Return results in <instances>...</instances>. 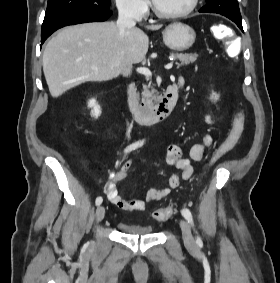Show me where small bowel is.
Segmentation results:
<instances>
[{"mask_svg":"<svg viewBox=\"0 0 280 283\" xmlns=\"http://www.w3.org/2000/svg\"><path fill=\"white\" fill-rule=\"evenodd\" d=\"M207 121L209 123L212 122L211 119H208ZM235 127L236 122H233L232 129L227 139L223 143H226L232 138ZM239 138L240 136L232 144L229 150H231L235 146ZM212 142L213 139L210 135H204L201 143L195 144L191 147L188 156H185L183 154L182 149L178 145H169L166 149V162L169 165L176 167L179 170V173L170 176L168 180V187L161 189H150L146 193L144 199H124L119 194L117 185L127 176L132 166L130 160L124 161L118 170L113 171L110 174L109 180L105 185V192L108 200L122 210L130 212L145 210L147 203L161 200L162 198L166 197L171 192V190L176 189L180 185V182L182 180L186 181L192 177L193 162H199L203 160L205 151L212 145Z\"/></svg>","mask_w":280,"mask_h":283,"instance_id":"1","label":"small bowel"}]
</instances>
